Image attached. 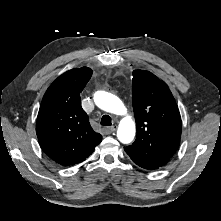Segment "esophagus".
Listing matches in <instances>:
<instances>
[{"label": "esophagus", "mask_w": 221, "mask_h": 221, "mask_svg": "<svg viewBox=\"0 0 221 221\" xmlns=\"http://www.w3.org/2000/svg\"><path fill=\"white\" fill-rule=\"evenodd\" d=\"M108 130H109L110 132H114V131L117 130V126L114 125V126L108 127Z\"/></svg>", "instance_id": "esophagus-1"}]
</instances>
